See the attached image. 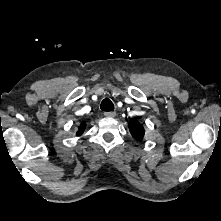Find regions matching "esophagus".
<instances>
[{"instance_id":"obj_1","label":"esophagus","mask_w":221,"mask_h":221,"mask_svg":"<svg viewBox=\"0 0 221 221\" xmlns=\"http://www.w3.org/2000/svg\"><path fill=\"white\" fill-rule=\"evenodd\" d=\"M104 115L106 117H114L116 115V113L115 112H105Z\"/></svg>"}]
</instances>
